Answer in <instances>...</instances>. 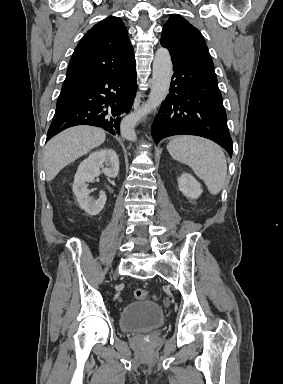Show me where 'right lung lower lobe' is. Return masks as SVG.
<instances>
[{
	"instance_id": "98d812e1",
	"label": "right lung lower lobe",
	"mask_w": 283,
	"mask_h": 384,
	"mask_svg": "<svg viewBox=\"0 0 283 384\" xmlns=\"http://www.w3.org/2000/svg\"><path fill=\"white\" fill-rule=\"evenodd\" d=\"M136 90V66L85 82L57 102L46 141L75 125L97 126L119 134L120 121L130 111Z\"/></svg>"
}]
</instances>
